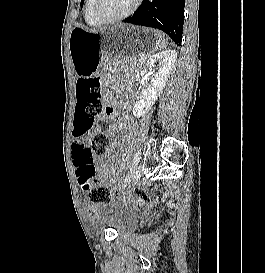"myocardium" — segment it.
<instances>
[{
	"instance_id": "1",
	"label": "myocardium",
	"mask_w": 265,
	"mask_h": 273,
	"mask_svg": "<svg viewBox=\"0 0 265 273\" xmlns=\"http://www.w3.org/2000/svg\"><path fill=\"white\" fill-rule=\"evenodd\" d=\"M141 3V0H135L133 5L131 6V8L129 10H127L126 12L117 15V16H105L104 14H102V12L100 11L99 8V4H100V0H92V5H91V11L92 14L94 15V17L100 21L103 24H111V23H115L121 20H124L126 18H128L129 16H131L139 7Z\"/></svg>"
}]
</instances>
